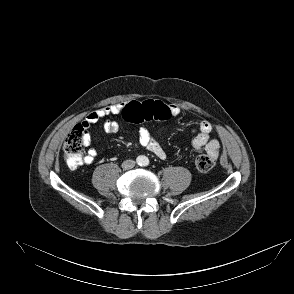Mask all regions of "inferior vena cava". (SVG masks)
<instances>
[{"label": "inferior vena cava", "instance_id": "obj_1", "mask_svg": "<svg viewBox=\"0 0 294 294\" xmlns=\"http://www.w3.org/2000/svg\"><path fill=\"white\" fill-rule=\"evenodd\" d=\"M134 166H135V161H134V160H131V159L125 160V161L122 163V168H123L124 170L132 169Z\"/></svg>", "mask_w": 294, "mask_h": 294}]
</instances>
